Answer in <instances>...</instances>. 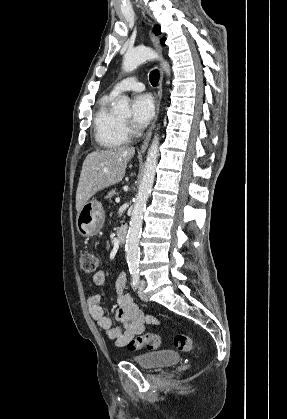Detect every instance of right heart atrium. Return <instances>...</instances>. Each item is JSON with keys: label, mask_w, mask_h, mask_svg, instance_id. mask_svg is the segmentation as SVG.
Wrapping results in <instances>:
<instances>
[{"label": "right heart atrium", "mask_w": 287, "mask_h": 419, "mask_svg": "<svg viewBox=\"0 0 287 419\" xmlns=\"http://www.w3.org/2000/svg\"><path fill=\"white\" fill-rule=\"evenodd\" d=\"M123 129H124L126 134L130 133V129L128 128V126L125 123L123 124Z\"/></svg>", "instance_id": "right-heart-atrium-1"}]
</instances>
